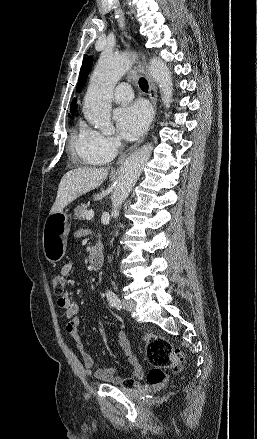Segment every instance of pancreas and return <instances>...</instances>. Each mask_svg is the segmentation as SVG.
<instances>
[{
    "instance_id": "obj_1",
    "label": "pancreas",
    "mask_w": 257,
    "mask_h": 439,
    "mask_svg": "<svg viewBox=\"0 0 257 439\" xmlns=\"http://www.w3.org/2000/svg\"><path fill=\"white\" fill-rule=\"evenodd\" d=\"M87 205L81 204L74 211V218L79 220H84L86 218Z\"/></svg>"
}]
</instances>
